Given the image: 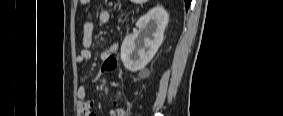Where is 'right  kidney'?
I'll return each instance as SVG.
<instances>
[{
    "mask_svg": "<svg viewBox=\"0 0 283 116\" xmlns=\"http://www.w3.org/2000/svg\"><path fill=\"white\" fill-rule=\"evenodd\" d=\"M168 14L161 6L152 8L136 22L133 33L126 36L121 46V60L126 69H143L154 57L163 41Z\"/></svg>",
    "mask_w": 283,
    "mask_h": 116,
    "instance_id": "obj_1",
    "label": "right kidney"
}]
</instances>
